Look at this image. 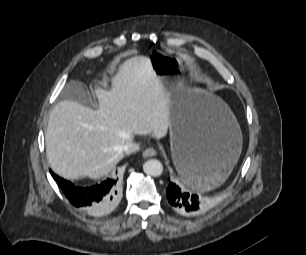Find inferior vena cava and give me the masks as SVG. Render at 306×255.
<instances>
[{"instance_id":"1","label":"inferior vena cava","mask_w":306,"mask_h":255,"mask_svg":"<svg viewBox=\"0 0 306 255\" xmlns=\"http://www.w3.org/2000/svg\"><path fill=\"white\" fill-rule=\"evenodd\" d=\"M139 149L140 145L138 143L133 142L132 139L120 147V150L125 154L137 152Z\"/></svg>"}]
</instances>
